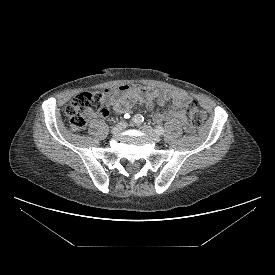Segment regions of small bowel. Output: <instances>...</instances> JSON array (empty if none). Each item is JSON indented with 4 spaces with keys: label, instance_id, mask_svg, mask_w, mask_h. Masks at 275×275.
<instances>
[{
    "label": "small bowel",
    "instance_id": "small-bowel-1",
    "mask_svg": "<svg viewBox=\"0 0 275 275\" xmlns=\"http://www.w3.org/2000/svg\"><path fill=\"white\" fill-rule=\"evenodd\" d=\"M191 98L186 92L159 89L149 86H128L124 85L105 92V102L112 106L115 114L127 113L137 102L145 105L151 110L155 103L164 105L170 102L169 109L154 116L156 122L177 120L187 132H192L193 128L187 122L185 108L189 105ZM107 110L104 114L106 115Z\"/></svg>",
    "mask_w": 275,
    "mask_h": 275
}]
</instances>
